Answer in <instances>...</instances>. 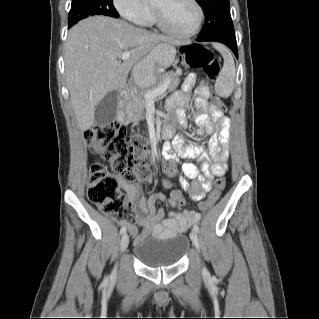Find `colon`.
Segmentation results:
<instances>
[{
    "label": "colon",
    "mask_w": 319,
    "mask_h": 319,
    "mask_svg": "<svg viewBox=\"0 0 319 319\" xmlns=\"http://www.w3.org/2000/svg\"><path fill=\"white\" fill-rule=\"evenodd\" d=\"M180 62L190 68L203 69L209 83L215 82L220 75L218 59L211 51L199 45L182 46ZM211 104L217 109L224 108L222 101L215 94H211ZM85 138L90 151L100 153L110 163V171L99 162L90 166L88 197L98 204L104 213L122 215L128 208V202L115 174L128 182L149 176L151 160L145 154L146 141L140 133L127 138L125 129L115 122L92 126ZM224 187L225 179L218 177L208 200L200 205L201 212H206L218 203ZM171 198L180 206L185 204L179 191H172Z\"/></svg>",
    "instance_id": "1"
}]
</instances>
